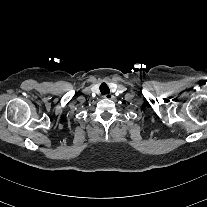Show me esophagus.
Listing matches in <instances>:
<instances>
[{"mask_svg": "<svg viewBox=\"0 0 207 207\" xmlns=\"http://www.w3.org/2000/svg\"><path fill=\"white\" fill-rule=\"evenodd\" d=\"M103 98H105V99H112L113 95L111 93H107V94L103 95Z\"/></svg>", "mask_w": 207, "mask_h": 207, "instance_id": "1", "label": "esophagus"}]
</instances>
